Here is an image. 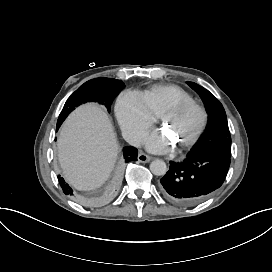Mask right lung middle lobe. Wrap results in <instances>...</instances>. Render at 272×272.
<instances>
[{
	"mask_svg": "<svg viewBox=\"0 0 272 272\" xmlns=\"http://www.w3.org/2000/svg\"><path fill=\"white\" fill-rule=\"evenodd\" d=\"M121 80L113 78H95L81 85L66 101L57 121L62 124L68 114L82 103L98 102L110 111L112 101L124 88Z\"/></svg>",
	"mask_w": 272,
	"mask_h": 272,
	"instance_id": "right-lung-middle-lobe-1",
	"label": "right lung middle lobe"
}]
</instances>
